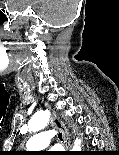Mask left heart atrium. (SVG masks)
Wrapping results in <instances>:
<instances>
[{
	"mask_svg": "<svg viewBox=\"0 0 119 155\" xmlns=\"http://www.w3.org/2000/svg\"><path fill=\"white\" fill-rule=\"evenodd\" d=\"M49 155H61V154H58V152H57V151L53 150V151H51V152H50V154H49Z\"/></svg>",
	"mask_w": 119,
	"mask_h": 155,
	"instance_id": "left-heart-atrium-1",
	"label": "left heart atrium"
}]
</instances>
